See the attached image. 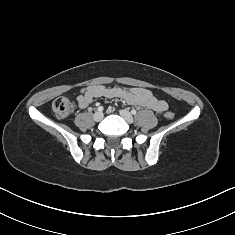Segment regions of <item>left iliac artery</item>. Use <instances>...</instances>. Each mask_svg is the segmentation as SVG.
<instances>
[{"instance_id":"44dca946","label":"left iliac artery","mask_w":235,"mask_h":235,"mask_svg":"<svg viewBox=\"0 0 235 235\" xmlns=\"http://www.w3.org/2000/svg\"><path fill=\"white\" fill-rule=\"evenodd\" d=\"M131 113H132L133 115H136V114H137V111H136L135 109H132V110H131Z\"/></svg>"}]
</instances>
